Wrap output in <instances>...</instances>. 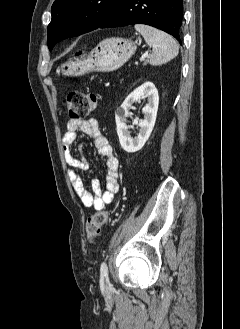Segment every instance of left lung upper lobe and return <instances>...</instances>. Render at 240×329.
Segmentation results:
<instances>
[{
    "label": "left lung upper lobe",
    "mask_w": 240,
    "mask_h": 329,
    "mask_svg": "<svg viewBox=\"0 0 240 329\" xmlns=\"http://www.w3.org/2000/svg\"><path fill=\"white\" fill-rule=\"evenodd\" d=\"M122 0H55L47 27L48 47L97 29Z\"/></svg>",
    "instance_id": "1"
}]
</instances>
